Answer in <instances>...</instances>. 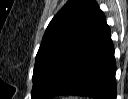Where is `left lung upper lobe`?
<instances>
[{"label":"left lung upper lobe","instance_id":"1","mask_svg":"<svg viewBox=\"0 0 128 99\" xmlns=\"http://www.w3.org/2000/svg\"><path fill=\"white\" fill-rule=\"evenodd\" d=\"M95 0H69L49 23L36 56L31 99H44L59 68L104 18Z\"/></svg>","mask_w":128,"mask_h":99}]
</instances>
